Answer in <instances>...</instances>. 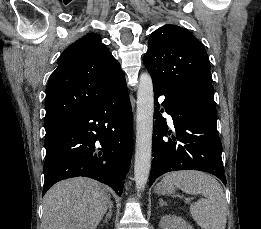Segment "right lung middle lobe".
Here are the masks:
<instances>
[{"instance_id":"obj_1","label":"right lung middle lobe","mask_w":261,"mask_h":229,"mask_svg":"<svg viewBox=\"0 0 261 229\" xmlns=\"http://www.w3.org/2000/svg\"><path fill=\"white\" fill-rule=\"evenodd\" d=\"M53 131L52 130H46V135L52 133Z\"/></svg>"}]
</instances>
